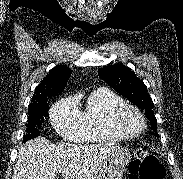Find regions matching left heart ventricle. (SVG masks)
Returning <instances> with one entry per match:
<instances>
[{
	"mask_svg": "<svg viewBox=\"0 0 183 179\" xmlns=\"http://www.w3.org/2000/svg\"><path fill=\"white\" fill-rule=\"evenodd\" d=\"M123 125L126 130L136 132L141 128V121L135 113L130 112L125 116Z\"/></svg>",
	"mask_w": 183,
	"mask_h": 179,
	"instance_id": "1",
	"label": "left heart ventricle"
}]
</instances>
